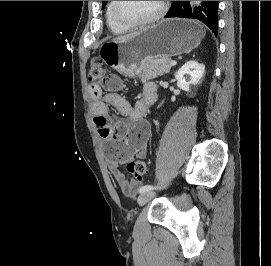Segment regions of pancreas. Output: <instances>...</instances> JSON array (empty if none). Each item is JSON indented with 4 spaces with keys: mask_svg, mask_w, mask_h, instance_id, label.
Segmentation results:
<instances>
[{
    "mask_svg": "<svg viewBox=\"0 0 271 266\" xmlns=\"http://www.w3.org/2000/svg\"><path fill=\"white\" fill-rule=\"evenodd\" d=\"M170 61V58L145 60L141 67L142 76L149 79L167 74L171 69Z\"/></svg>",
    "mask_w": 271,
    "mask_h": 266,
    "instance_id": "obj_1",
    "label": "pancreas"
}]
</instances>
